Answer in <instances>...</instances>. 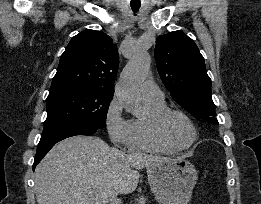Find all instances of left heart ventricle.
<instances>
[{
    "label": "left heart ventricle",
    "mask_w": 261,
    "mask_h": 204,
    "mask_svg": "<svg viewBox=\"0 0 261 204\" xmlns=\"http://www.w3.org/2000/svg\"><path fill=\"white\" fill-rule=\"evenodd\" d=\"M169 138L179 146L187 145L193 138V132L187 122L178 116L171 117L166 124Z\"/></svg>",
    "instance_id": "b2bd125f"
}]
</instances>
